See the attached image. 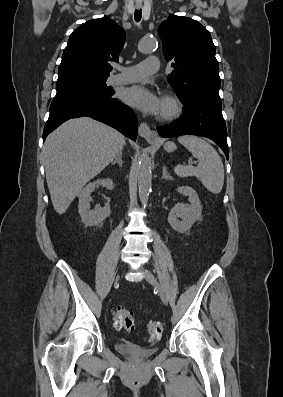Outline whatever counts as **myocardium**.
<instances>
[{
    "label": "myocardium",
    "mask_w": 283,
    "mask_h": 397,
    "mask_svg": "<svg viewBox=\"0 0 283 397\" xmlns=\"http://www.w3.org/2000/svg\"><path fill=\"white\" fill-rule=\"evenodd\" d=\"M165 109L160 114V119L163 121L174 120L182 113V103L178 97L172 94H166L163 97Z\"/></svg>",
    "instance_id": "f54148a6"
}]
</instances>
